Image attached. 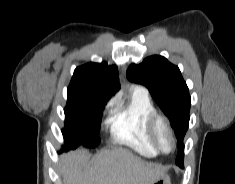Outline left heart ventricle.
Segmentation results:
<instances>
[{"mask_svg": "<svg viewBox=\"0 0 235 184\" xmlns=\"http://www.w3.org/2000/svg\"><path fill=\"white\" fill-rule=\"evenodd\" d=\"M158 142L161 148L166 152H171L173 149V138L169 131L162 128L158 133Z\"/></svg>", "mask_w": 235, "mask_h": 184, "instance_id": "left-heart-ventricle-1", "label": "left heart ventricle"}]
</instances>
